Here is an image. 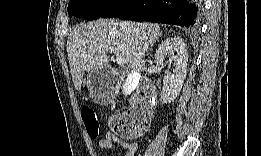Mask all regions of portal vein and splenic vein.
I'll use <instances>...</instances> for the list:
<instances>
[{"label":"portal vein and splenic vein","instance_id":"18ae733b","mask_svg":"<svg viewBox=\"0 0 261 156\" xmlns=\"http://www.w3.org/2000/svg\"><path fill=\"white\" fill-rule=\"evenodd\" d=\"M116 63L119 65V66H122L125 64V60L123 58H120V57H116L115 59Z\"/></svg>","mask_w":261,"mask_h":156}]
</instances>
